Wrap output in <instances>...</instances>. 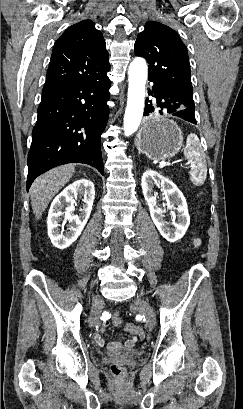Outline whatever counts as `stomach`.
<instances>
[{
  "label": "stomach",
  "instance_id": "stomach-1",
  "mask_svg": "<svg viewBox=\"0 0 243 409\" xmlns=\"http://www.w3.org/2000/svg\"><path fill=\"white\" fill-rule=\"evenodd\" d=\"M135 143L138 151L148 158L164 160L179 152L183 145V134L173 120L154 116L144 122Z\"/></svg>",
  "mask_w": 243,
  "mask_h": 409
}]
</instances>
